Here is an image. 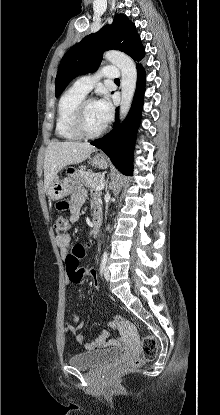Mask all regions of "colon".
Masks as SVG:
<instances>
[{
    "label": "colon",
    "instance_id": "obj_1",
    "mask_svg": "<svg viewBox=\"0 0 220 415\" xmlns=\"http://www.w3.org/2000/svg\"><path fill=\"white\" fill-rule=\"evenodd\" d=\"M67 201L57 202V209L66 210L68 207ZM54 229L59 235L65 234L69 229V220L64 215H58L54 219ZM86 246L82 243H77L66 255V268L69 280L74 284L81 283L85 278L94 283L93 270H85L80 267V260L85 256ZM158 352V344L154 336L147 335L141 342V357L132 358L123 363L125 369H136L143 365L145 361L153 360Z\"/></svg>",
    "mask_w": 220,
    "mask_h": 415
}]
</instances>
